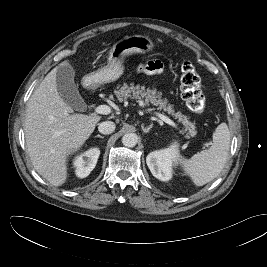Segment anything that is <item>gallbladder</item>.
<instances>
[{"label":"gallbladder","mask_w":267,"mask_h":267,"mask_svg":"<svg viewBox=\"0 0 267 267\" xmlns=\"http://www.w3.org/2000/svg\"><path fill=\"white\" fill-rule=\"evenodd\" d=\"M75 71L69 64L59 66L56 73V84L60 96L73 109L84 111L86 104L79 94L74 82Z\"/></svg>","instance_id":"bac80fb5"}]
</instances>
